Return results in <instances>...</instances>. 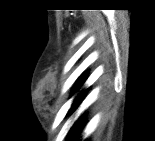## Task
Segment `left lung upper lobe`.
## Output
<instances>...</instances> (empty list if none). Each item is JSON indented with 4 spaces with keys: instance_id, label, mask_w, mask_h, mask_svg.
<instances>
[{
    "instance_id": "5c2ea615",
    "label": "left lung upper lobe",
    "mask_w": 155,
    "mask_h": 141,
    "mask_svg": "<svg viewBox=\"0 0 155 141\" xmlns=\"http://www.w3.org/2000/svg\"><path fill=\"white\" fill-rule=\"evenodd\" d=\"M86 80V73H83L79 79L77 80L75 87L73 88V94L76 93L77 91H79V89L82 87V85L84 84ZM83 92H81L78 97L76 98V100L82 95Z\"/></svg>"
}]
</instances>
